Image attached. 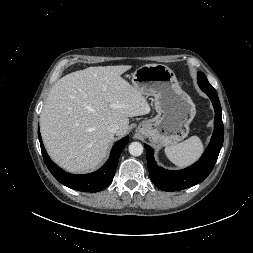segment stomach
Segmentation results:
<instances>
[{"label": "stomach", "instance_id": "obj_1", "mask_svg": "<svg viewBox=\"0 0 253 253\" xmlns=\"http://www.w3.org/2000/svg\"><path fill=\"white\" fill-rule=\"evenodd\" d=\"M132 85L144 96L154 97L157 115L141 122L136 132L162 146L175 145L188 136L196 114L195 104L184 92L174 72L163 64H146L132 74Z\"/></svg>", "mask_w": 253, "mask_h": 253}]
</instances>
